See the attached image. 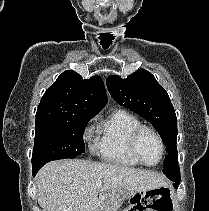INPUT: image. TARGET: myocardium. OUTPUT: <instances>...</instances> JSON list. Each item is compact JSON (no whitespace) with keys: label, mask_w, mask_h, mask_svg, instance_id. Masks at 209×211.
<instances>
[{"label":"myocardium","mask_w":209,"mask_h":211,"mask_svg":"<svg viewBox=\"0 0 209 211\" xmlns=\"http://www.w3.org/2000/svg\"><path fill=\"white\" fill-rule=\"evenodd\" d=\"M144 132H149L151 133L152 135H154L156 137V139L158 140L159 144H160V147H161V156H160V159L158 160L157 163L155 164H148L146 163L140 153H139V150H138V142H139V139L141 137V135L144 133ZM129 149H130V152L132 153V155L134 156V158L142 165L146 166V167H155L157 165H159L162 160L164 159V156H165V143L163 141V138L161 137V135L158 133V131L156 129H154L153 127L151 126H148V125H143V124H140L137 128H135L133 130V132L131 133V136H130V139H129Z\"/></svg>","instance_id":"1"}]
</instances>
